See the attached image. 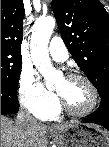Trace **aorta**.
<instances>
[{"mask_svg": "<svg viewBox=\"0 0 109 147\" xmlns=\"http://www.w3.org/2000/svg\"><path fill=\"white\" fill-rule=\"evenodd\" d=\"M55 27V19L47 16L37 20L33 26L31 36V57L35 67L43 75L47 85L57 80L59 73L52 66L48 44Z\"/></svg>", "mask_w": 109, "mask_h": 147, "instance_id": "762f6f07", "label": "aorta"}]
</instances>
